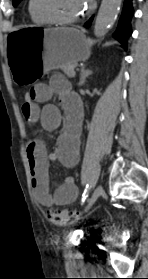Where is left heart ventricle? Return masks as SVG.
<instances>
[{
  "label": "left heart ventricle",
  "mask_w": 148,
  "mask_h": 279,
  "mask_svg": "<svg viewBox=\"0 0 148 279\" xmlns=\"http://www.w3.org/2000/svg\"><path fill=\"white\" fill-rule=\"evenodd\" d=\"M39 9L59 18H72L81 15V0H38Z\"/></svg>",
  "instance_id": "obj_1"
}]
</instances>
